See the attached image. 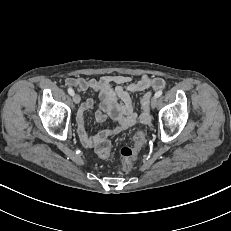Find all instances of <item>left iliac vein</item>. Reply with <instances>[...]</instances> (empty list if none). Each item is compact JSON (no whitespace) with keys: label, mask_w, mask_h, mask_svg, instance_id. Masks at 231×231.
Segmentation results:
<instances>
[{"label":"left iliac vein","mask_w":231,"mask_h":231,"mask_svg":"<svg viewBox=\"0 0 231 231\" xmlns=\"http://www.w3.org/2000/svg\"><path fill=\"white\" fill-rule=\"evenodd\" d=\"M157 103H158V97L153 96L151 99V107L155 108L157 106Z\"/></svg>","instance_id":"obj_1"}]
</instances>
